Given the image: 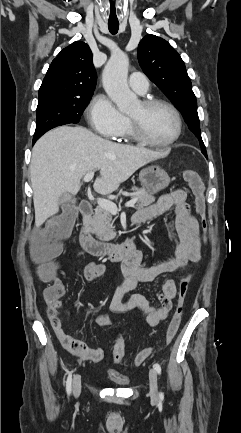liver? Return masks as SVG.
Returning <instances> with one entry per match:
<instances>
[{"label": "liver", "mask_w": 241, "mask_h": 433, "mask_svg": "<svg viewBox=\"0 0 241 433\" xmlns=\"http://www.w3.org/2000/svg\"><path fill=\"white\" fill-rule=\"evenodd\" d=\"M163 156L113 143L80 126H61L47 132L34 145L30 164L36 227L58 213L63 193L79 192L81 179L89 171L100 170L93 188L107 195L140 167Z\"/></svg>", "instance_id": "obj_1"}]
</instances>
